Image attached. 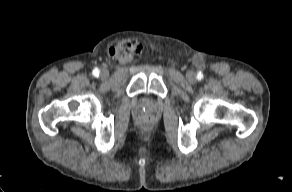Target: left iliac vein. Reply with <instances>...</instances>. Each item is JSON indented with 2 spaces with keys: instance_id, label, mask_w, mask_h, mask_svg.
Segmentation results:
<instances>
[{
  "instance_id": "4c4485c4",
  "label": "left iliac vein",
  "mask_w": 292,
  "mask_h": 192,
  "mask_svg": "<svg viewBox=\"0 0 292 192\" xmlns=\"http://www.w3.org/2000/svg\"><path fill=\"white\" fill-rule=\"evenodd\" d=\"M186 77L190 82H195L196 80L195 73L192 71H188Z\"/></svg>"
}]
</instances>
